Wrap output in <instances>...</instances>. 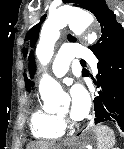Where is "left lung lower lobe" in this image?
Here are the masks:
<instances>
[{
  "label": "left lung lower lobe",
  "mask_w": 124,
  "mask_h": 149,
  "mask_svg": "<svg viewBox=\"0 0 124 149\" xmlns=\"http://www.w3.org/2000/svg\"><path fill=\"white\" fill-rule=\"evenodd\" d=\"M97 58L95 123L114 122L124 132V47Z\"/></svg>",
  "instance_id": "0a47b994"
}]
</instances>
